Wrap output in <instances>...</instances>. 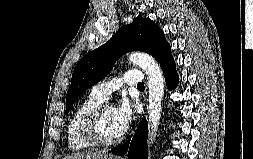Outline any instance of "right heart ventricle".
<instances>
[{
  "label": "right heart ventricle",
  "mask_w": 253,
  "mask_h": 159,
  "mask_svg": "<svg viewBox=\"0 0 253 159\" xmlns=\"http://www.w3.org/2000/svg\"><path fill=\"white\" fill-rule=\"evenodd\" d=\"M103 100L92 92L82 100L73 111L67 125L68 148L73 151H81L90 148L82 137V127L88 114Z\"/></svg>",
  "instance_id": "right-heart-ventricle-1"
}]
</instances>
